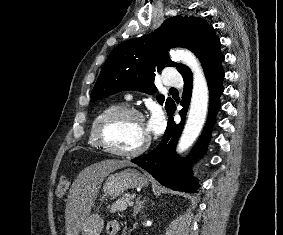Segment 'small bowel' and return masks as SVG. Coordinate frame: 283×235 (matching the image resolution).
I'll list each match as a JSON object with an SVG mask.
<instances>
[{
  "mask_svg": "<svg viewBox=\"0 0 283 235\" xmlns=\"http://www.w3.org/2000/svg\"><path fill=\"white\" fill-rule=\"evenodd\" d=\"M120 228L121 224L117 220H111L107 225V230L111 235H116L120 231Z\"/></svg>",
  "mask_w": 283,
  "mask_h": 235,
  "instance_id": "obj_1",
  "label": "small bowel"
}]
</instances>
